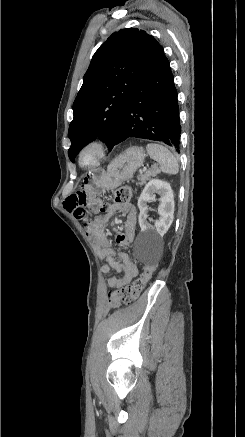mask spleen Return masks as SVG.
Wrapping results in <instances>:
<instances>
[{
    "label": "spleen",
    "mask_w": 245,
    "mask_h": 437,
    "mask_svg": "<svg viewBox=\"0 0 245 437\" xmlns=\"http://www.w3.org/2000/svg\"><path fill=\"white\" fill-rule=\"evenodd\" d=\"M146 149L149 156L158 162L162 172L167 174L178 173V159L166 147L157 143H148Z\"/></svg>",
    "instance_id": "obj_1"
}]
</instances>
